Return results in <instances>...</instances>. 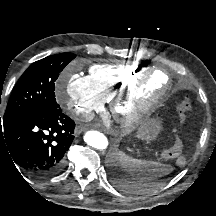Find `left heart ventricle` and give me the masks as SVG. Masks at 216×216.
<instances>
[{
	"mask_svg": "<svg viewBox=\"0 0 216 216\" xmlns=\"http://www.w3.org/2000/svg\"><path fill=\"white\" fill-rule=\"evenodd\" d=\"M166 83V77L163 74H156L152 81L150 82V84L147 86L146 88V92L148 93H155L158 90H160ZM134 110V106L133 105H129L127 107H124L122 109L124 114H130L132 113Z\"/></svg>",
	"mask_w": 216,
	"mask_h": 216,
	"instance_id": "left-heart-ventricle-1",
	"label": "left heart ventricle"
}]
</instances>
